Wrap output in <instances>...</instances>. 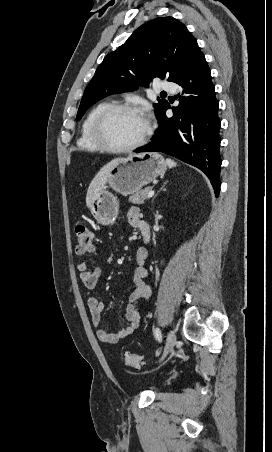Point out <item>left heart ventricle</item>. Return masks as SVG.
<instances>
[{
  "label": "left heart ventricle",
  "instance_id": "b2bd125f",
  "mask_svg": "<svg viewBox=\"0 0 272 452\" xmlns=\"http://www.w3.org/2000/svg\"><path fill=\"white\" fill-rule=\"evenodd\" d=\"M146 121L145 117L139 113L115 112L105 122L107 137L116 145L131 144L144 133Z\"/></svg>",
  "mask_w": 272,
  "mask_h": 452
}]
</instances>
